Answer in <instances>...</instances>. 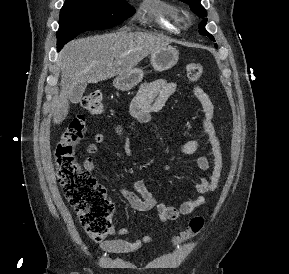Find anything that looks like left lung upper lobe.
<instances>
[{"mask_svg":"<svg viewBox=\"0 0 289 274\" xmlns=\"http://www.w3.org/2000/svg\"><path fill=\"white\" fill-rule=\"evenodd\" d=\"M180 1L184 3H189L191 10L195 14H197V16H199L200 18H204L203 21L199 24V33L201 35L209 37L212 41H215L214 37L205 30V25L207 22V18L205 17L207 16V12L204 9V7L200 4V0H180ZM216 46L217 44H215V47Z\"/></svg>","mask_w":289,"mask_h":274,"instance_id":"obj_1","label":"left lung upper lobe"}]
</instances>
